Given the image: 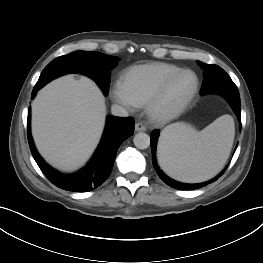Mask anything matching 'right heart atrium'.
I'll list each match as a JSON object with an SVG mask.
<instances>
[{"instance_id":"obj_1","label":"right heart atrium","mask_w":263,"mask_h":263,"mask_svg":"<svg viewBox=\"0 0 263 263\" xmlns=\"http://www.w3.org/2000/svg\"><path fill=\"white\" fill-rule=\"evenodd\" d=\"M111 93H112V98L116 103L126 108H129V109L136 107V104L133 102L131 97L128 95L123 82L117 81L113 85Z\"/></svg>"}]
</instances>
